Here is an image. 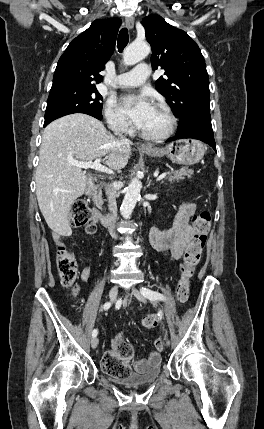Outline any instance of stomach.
<instances>
[{
	"label": "stomach",
	"mask_w": 264,
	"mask_h": 429,
	"mask_svg": "<svg viewBox=\"0 0 264 429\" xmlns=\"http://www.w3.org/2000/svg\"><path fill=\"white\" fill-rule=\"evenodd\" d=\"M149 156H167L173 162L183 165H192L199 162L205 153L204 145L194 139H181L174 141L163 148L143 150Z\"/></svg>",
	"instance_id": "1"
}]
</instances>
